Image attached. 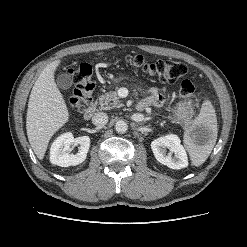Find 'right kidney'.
<instances>
[{
	"label": "right kidney",
	"mask_w": 247,
	"mask_h": 247,
	"mask_svg": "<svg viewBox=\"0 0 247 247\" xmlns=\"http://www.w3.org/2000/svg\"><path fill=\"white\" fill-rule=\"evenodd\" d=\"M71 144L80 145L78 153L75 155L69 154ZM89 146L90 138L88 136L74 138L72 133H64L51 145L50 162L61 167L76 166L86 159Z\"/></svg>",
	"instance_id": "right-kidney-1"
}]
</instances>
